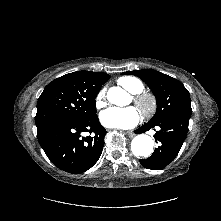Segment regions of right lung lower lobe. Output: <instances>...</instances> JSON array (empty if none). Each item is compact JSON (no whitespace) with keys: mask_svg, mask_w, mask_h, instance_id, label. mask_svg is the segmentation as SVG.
<instances>
[{"mask_svg":"<svg viewBox=\"0 0 221 221\" xmlns=\"http://www.w3.org/2000/svg\"><path fill=\"white\" fill-rule=\"evenodd\" d=\"M83 132L95 136L82 137ZM106 133L98 116L86 121H55L37 128L39 144L49 160L73 174L85 172L98 161Z\"/></svg>","mask_w":221,"mask_h":221,"instance_id":"right-lung-lower-lobe-1","label":"right lung lower lobe"}]
</instances>
